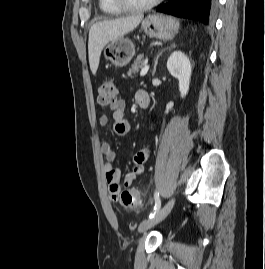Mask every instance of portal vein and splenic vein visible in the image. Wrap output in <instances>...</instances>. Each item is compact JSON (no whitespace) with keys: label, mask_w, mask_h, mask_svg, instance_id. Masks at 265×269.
<instances>
[{"label":"portal vein and splenic vein","mask_w":265,"mask_h":269,"mask_svg":"<svg viewBox=\"0 0 265 269\" xmlns=\"http://www.w3.org/2000/svg\"><path fill=\"white\" fill-rule=\"evenodd\" d=\"M149 70V65L146 64L140 71V76H145Z\"/></svg>","instance_id":"1"}]
</instances>
